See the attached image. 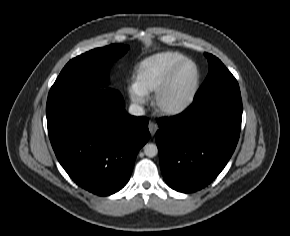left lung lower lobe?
Returning <instances> with one entry per match:
<instances>
[{"label": "left lung lower lobe", "instance_id": "left-lung-lower-lobe-1", "mask_svg": "<svg viewBox=\"0 0 290 236\" xmlns=\"http://www.w3.org/2000/svg\"><path fill=\"white\" fill-rule=\"evenodd\" d=\"M241 120L238 83L196 97L181 114L158 119L155 137L168 186L190 193L212 182L236 148Z\"/></svg>", "mask_w": 290, "mask_h": 236}]
</instances>
